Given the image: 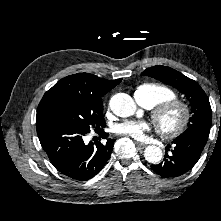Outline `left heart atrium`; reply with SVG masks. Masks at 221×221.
Instances as JSON below:
<instances>
[{
	"mask_svg": "<svg viewBox=\"0 0 221 221\" xmlns=\"http://www.w3.org/2000/svg\"><path fill=\"white\" fill-rule=\"evenodd\" d=\"M149 130L150 125L144 121H124L114 127L115 133L137 140L143 139L145 133Z\"/></svg>",
	"mask_w": 221,
	"mask_h": 221,
	"instance_id": "obj_1",
	"label": "left heart atrium"
}]
</instances>
